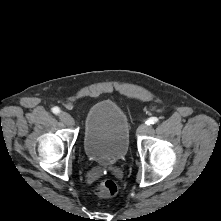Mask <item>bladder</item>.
<instances>
[{
  "label": "bladder",
  "instance_id": "31cf9c89",
  "mask_svg": "<svg viewBox=\"0 0 221 221\" xmlns=\"http://www.w3.org/2000/svg\"><path fill=\"white\" fill-rule=\"evenodd\" d=\"M129 139V122L117 103L102 100L88 109L83 148L89 159L101 165L114 164L126 155Z\"/></svg>",
  "mask_w": 221,
  "mask_h": 221
}]
</instances>
